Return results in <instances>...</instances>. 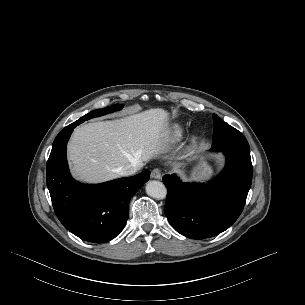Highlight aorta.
<instances>
[{
	"instance_id": "1",
	"label": "aorta",
	"mask_w": 305,
	"mask_h": 305,
	"mask_svg": "<svg viewBox=\"0 0 305 305\" xmlns=\"http://www.w3.org/2000/svg\"><path fill=\"white\" fill-rule=\"evenodd\" d=\"M146 193L156 199H164L167 194V189L162 182L149 181L145 187Z\"/></svg>"
}]
</instances>
